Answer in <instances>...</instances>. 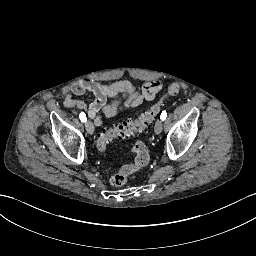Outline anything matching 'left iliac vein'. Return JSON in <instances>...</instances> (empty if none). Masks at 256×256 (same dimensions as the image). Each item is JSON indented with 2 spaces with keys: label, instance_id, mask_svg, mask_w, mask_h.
I'll use <instances>...</instances> for the list:
<instances>
[{
  "label": "left iliac vein",
  "instance_id": "1",
  "mask_svg": "<svg viewBox=\"0 0 256 256\" xmlns=\"http://www.w3.org/2000/svg\"><path fill=\"white\" fill-rule=\"evenodd\" d=\"M155 133L159 135L162 132V121L157 120L154 127Z\"/></svg>",
  "mask_w": 256,
  "mask_h": 256
}]
</instances>
